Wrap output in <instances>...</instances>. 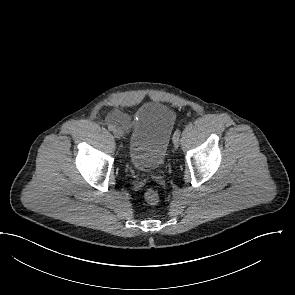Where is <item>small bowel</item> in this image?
<instances>
[{
  "label": "small bowel",
  "mask_w": 295,
  "mask_h": 295,
  "mask_svg": "<svg viewBox=\"0 0 295 295\" xmlns=\"http://www.w3.org/2000/svg\"><path fill=\"white\" fill-rule=\"evenodd\" d=\"M111 120L123 128H127L129 126V119L124 114L116 113L111 117Z\"/></svg>",
  "instance_id": "obj_1"
}]
</instances>
